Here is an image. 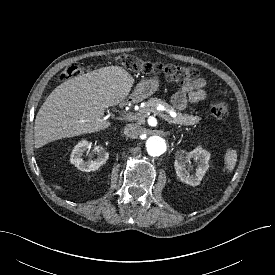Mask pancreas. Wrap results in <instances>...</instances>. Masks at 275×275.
<instances>
[{
    "instance_id": "1",
    "label": "pancreas",
    "mask_w": 275,
    "mask_h": 275,
    "mask_svg": "<svg viewBox=\"0 0 275 275\" xmlns=\"http://www.w3.org/2000/svg\"><path fill=\"white\" fill-rule=\"evenodd\" d=\"M158 105L164 106L167 110L173 111V108L168 105L165 101H162L158 98H151L148 100L145 104V106L140 109L139 113H137L135 119L139 120L140 122L144 121L145 117L148 113H158L156 110V107ZM168 116V115H167ZM172 123L174 124H180V125H195L199 123L201 118L199 116H193L188 114H182L180 112L176 113V117L172 118L168 116Z\"/></svg>"
}]
</instances>
